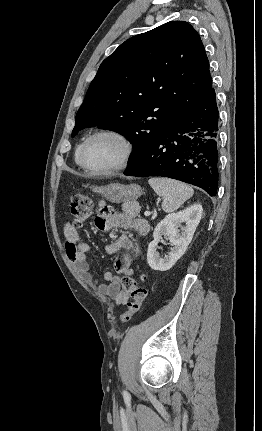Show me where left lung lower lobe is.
<instances>
[{
    "label": "left lung lower lobe",
    "mask_w": 262,
    "mask_h": 431,
    "mask_svg": "<svg viewBox=\"0 0 262 431\" xmlns=\"http://www.w3.org/2000/svg\"><path fill=\"white\" fill-rule=\"evenodd\" d=\"M218 114L215 90L211 88L124 174L173 178L215 196L218 188Z\"/></svg>",
    "instance_id": "1"
}]
</instances>
